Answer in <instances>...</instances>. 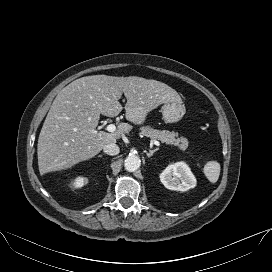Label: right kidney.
Masks as SVG:
<instances>
[{"label":"right kidney","mask_w":272,"mask_h":272,"mask_svg":"<svg viewBox=\"0 0 272 272\" xmlns=\"http://www.w3.org/2000/svg\"><path fill=\"white\" fill-rule=\"evenodd\" d=\"M87 183H88V179L86 177L78 176L71 182V185L74 188H81Z\"/></svg>","instance_id":"ca27d5eb"}]
</instances>
